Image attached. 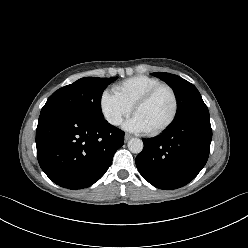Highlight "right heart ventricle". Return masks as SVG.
<instances>
[{
  "label": "right heart ventricle",
  "mask_w": 248,
  "mask_h": 248,
  "mask_svg": "<svg viewBox=\"0 0 248 248\" xmlns=\"http://www.w3.org/2000/svg\"><path fill=\"white\" fill-rule=\"evenodd\" d=\"M159 84L161 81L156 78L138 75L117 83L113 91L132 108L142 95Z\"/></svg>",
  "instance_id": "right-heart-ventricle-1"
}]
</instances>
